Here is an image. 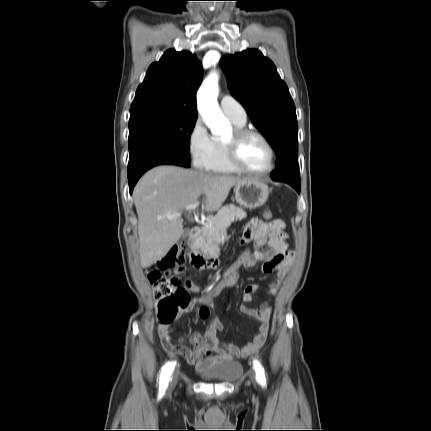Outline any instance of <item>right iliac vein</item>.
Segmentation results:
<instances>
[{
	"instance_id": "right-iliac-vein-1",
	"label": "right iliac vein",
	"mask_w": 431,
	"mask_h": 431,
	"mask_svg": "<svg viewBox=\"0 0 431 431\" xmlns=\"http://www.w3.org/2000/svg\"><path fill=\"white\" fill-rule=\"evenodd\" d=\"M175 382H176V376L174 377V380H173L172 384L174 385Z\"/></svg>"
}]
</instances>
